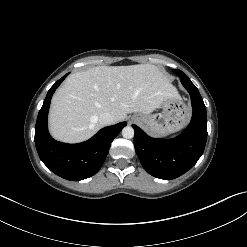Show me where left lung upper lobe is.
Masks as SVG:
<instances>
[{
    "label": "left lung upper lobe",
    "instance_id": "left-lung-upper-lobe-1",
    "mask_svg": "<svg viewBox=\"0 0 247 247\" xmlns=\"http://www.w3.org/2000/svg\"><path fill=\"white\" fill-rule=\"evenodd\" d=\"M180 70H176V73L179 72Z\"/></svg>",
    "mask_w": 247,
    "mask_h": 247
}]
</instances>
